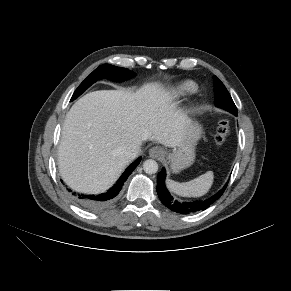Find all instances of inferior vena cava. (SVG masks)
<instances>
[{"label":"inferior vena cava","instance_id":"obj_1","mask_svg":"<svg viewBox=\"0 0 291 291\" xmlns=\"http://www.w3.org/2000/svg\"><path fill=\"white\" fill-rule=\"evenodd\" d=\"M141 151V147L136 144V143H132L129 144L125 150H124V154L129 158V159H134L135 157H137V155L140 153Z\"/></svg>","mask_w":291,"mask_h":291}]
</instances>
